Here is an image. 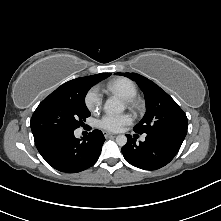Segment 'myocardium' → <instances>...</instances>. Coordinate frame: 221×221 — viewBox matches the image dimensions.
<instances>
[{
    "label": "myocardium",
    "mask_w": 221,
    "mask_h": 221,
    "mask_svg": "<svg viewBox=\"0 0 221 221\" xmlns=\"http://www.w3.org/2000/svg\"><path fill=\"white\" fill-rule=\"evenodd\" d=\"M126 101L130 106H132V107L136 106V100L134 98L126 100Z\"/></svg>",
    "instance_id": "1"
}]
</instances>
